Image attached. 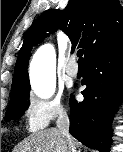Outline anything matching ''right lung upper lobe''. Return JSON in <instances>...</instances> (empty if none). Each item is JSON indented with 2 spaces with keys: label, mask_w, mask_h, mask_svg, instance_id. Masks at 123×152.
<instances>
[{
  "label": "right lung upper lobe",
  "mask_w": 123,
  "mask_h": 152,
  "mask_svg": "<svg viewBox=\"0 0 123 152\" xmlns=\"http://www.w3.org/2000/svg\"><path fill=\"white\" fill-rule=\"evenodd\" d=\"M58 28L68 35L72 48L85 49L87 59L123 34V8L119 0H70L63 11L50 9L41 14L25 36L19 51L12 80V93L30 85L27 67L32 47Z\"/></svg>",
  "instance_id": "obj_1"
}]
</instances>
